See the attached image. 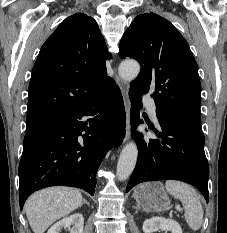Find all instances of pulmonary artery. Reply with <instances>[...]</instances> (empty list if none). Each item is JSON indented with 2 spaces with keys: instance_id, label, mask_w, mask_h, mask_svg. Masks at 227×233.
<instances>
[{
  "instance_id": "e3ab8cb5",
  "label": "pulmonary artery",
  "mask_w": 227,
  "mask_h": 233,
  "mask_svg": "<svg viewBox=\"0 0 227 233\" xmlns=\"http://www.w3.org/2000/svg\"><path fill=\"white\" fill-rule=\"evenodd\" d=\"M143 101H144V104H145L146 108L148 109L150 115L154 119H156V105H155V102L149 97H144Z\"/></svg>"
}]
</instances>
